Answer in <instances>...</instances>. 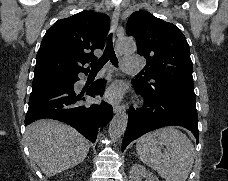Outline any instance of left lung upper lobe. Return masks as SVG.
<instances>
[{
  "label": "left lung upper lobe",
  "instance_id": "5c2ea615",
  "mask_svg": "<svg viewBox=\"0 0 228 181\" xmlns=\"http://www.w3.org/2000/svg\"><path fill=\"white\" fill-rule=\"evenodd\" d=\"M126 33L136 39L138 54L147 60L133 83L143 88L165 87L195 97L190 49L178 27L147 11H136L128 19Z\"/></svg>",
  "mask_w": 228,
  "mask_h": 181
}]
</instances>
